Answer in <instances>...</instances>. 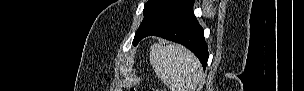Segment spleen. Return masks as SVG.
Wrapping results in <instances>:
<instances>
[{"instance_id":"1","label":"spleen","mask_w":304,"mask_h":91,"mask_svg":"<svg viewBox=\"0 0 304 91\" xmlns=\"http://www.w3.org/2000/svg\"><path fill=\"white\" fill-rule=\"evenodd\" d=\"M151 65L170 91H195L202 77L201 65L192 52L178 44H154Z\"/></svg>"}]
</instances>
